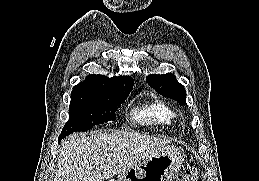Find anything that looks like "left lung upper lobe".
<instances>
[{"label": "left lung upper lobe", "instance_id": "obj_1", "mask_svg": "<svg viewBox=\"0 0 259 181\" xmlns=\"http://www.w3.org/2000/svg\"><path fill=\"white\" fill-rule=\"evenodd\" d=\"M146 80L161 95L174 99L181 105L186 102L185 88L176 81L174 74H151L147 76Z\"/></svg>", "mask_w": 259, "mask_h": 181}]
</instances>
